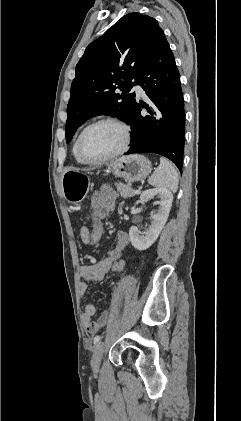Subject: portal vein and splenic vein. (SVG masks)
Wrapping results in <instances>:
<instances>
[{
  "mask_svg": "<svg viewBox=\"0 0 241 421\" xmlns=\"http://www.w3.org/2000/svg\"><path fill=\"white\" fill-rule=\"evenodd\" d=\"M135 193L136 194H140V190H135Z\"/></svg>",
  "mask_w": 241,
  "mask_h": 421,
  "instance_id": "obj_1",
  "label": "portal vein and splenic vein"
}]
</instances>
